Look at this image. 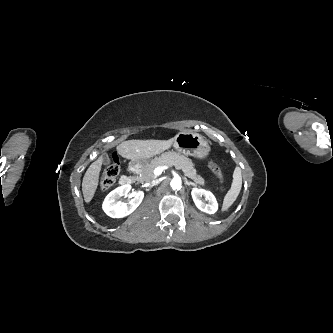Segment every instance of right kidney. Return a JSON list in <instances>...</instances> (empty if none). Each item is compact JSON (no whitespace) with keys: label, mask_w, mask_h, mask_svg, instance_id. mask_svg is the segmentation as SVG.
Masks as SVG:
<instances>
[{"label":"right kidney","mask_w":333,"mask_h":333,"mask_svg":"<svg viewBox=\"0 0 333 333\" xmlns=\"http://www.w3.org/2000/svg\"><path fill=\"white\" fill-rule=\"evenodd\" d=\"M131 190V185L120 186L111 191L104 199L102 208L104 212L112 218H122L131 214L142 202L143 191L132 193L128 204L117 202L121 196H127Z\"/></svg>","instance_id":"obj_1"}]
</instances>
